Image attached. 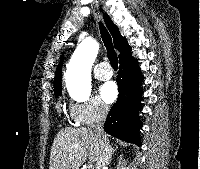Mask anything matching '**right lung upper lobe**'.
Here are the masks:
<instances>
[{
	"instance_id": "1",
	"label": "right lung upper lobe",
	"mask_w": 200,
	"mask_h": 169,
	"mask_svg": "<svg viewBox=\"0 0 200 169\" xmlns=\"http://www.w3.org/2000/svg\"><path fill=\"white\" fill-rule=\"evenodd\" d=\"M104 20L107 24L110 33L113 36L115 48L120 52L119 60H122L123 58L130 55L131 48L127 44L126 39L120 35L118 27L112 22V20L106 13L104 14ZM62 63H63V56L56 69L55 80H54V92L62 91V85H61Z\"/></svg>"
}]
</instances>
